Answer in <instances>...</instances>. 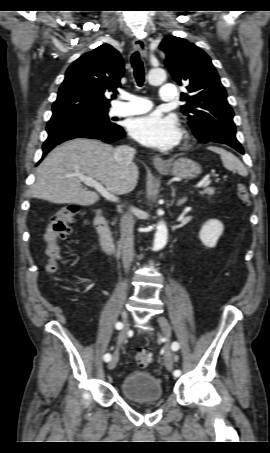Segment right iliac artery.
Listing matches in <instances>:
<instances>
[{"mask_svg":"<svg viewBox=\"0 0 270 453\" xmlns=\"http://www.w3.org/2000/svg\"><path fill=\"white\" fill-rule=\"evenodd\" d=\"M122 327H123V324L121 322L116 323V329L120 330V329H122ZM104 360L106 362H109L111 360V354L110 353H106L104 355Z\"/></svg>","mask_w":270,"mask_h":453,"instance_id":"82829eb1","label":"right iliac artery"}]
</instances>
